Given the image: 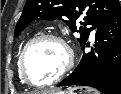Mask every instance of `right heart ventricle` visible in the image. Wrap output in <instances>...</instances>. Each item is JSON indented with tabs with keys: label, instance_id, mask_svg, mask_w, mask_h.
<instances>
[{
	"label": "right heart ventricle",
	"instance_id": "1",
	"mask_svg": "<svg viewBox=\"0 0 121 94\" xmlns=\"http://www.w3.org/2000/svg\"><path fill=\"white\" fill-rule=\"evenodd\" d=\"M26 43H27V41L24 42V43H22V45L19 48L18 54H17V60H16V62H17L18 72H19V57H20V54H21V52H22V50H23V48H24V46H25ZM19 75H20V72H19ZM20 78H22L21 75H20Z\"/></svg>",
	"mask_w": 121,
	"mask_h": 94
}]
</instances>
